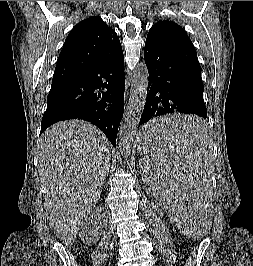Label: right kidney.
<instances>
[{
    "label": "right kidney",
    "mask_w": 253,
    "mask_h": 266,
    "mask_svg": "<svg viewBox=\"0 0 253 266\" xmlns=\"http://www.w3.org/2000/svg\"><path fill=\"white\" fill-rule=\"evenodd\" d=\"M96 220L97 217L92 215L91 218L86 219L80 226V238L87 245H92L101 235L99 223Z\"/></svg>",
    "instance_id": "ca27d5eb"
}]
</instances>
